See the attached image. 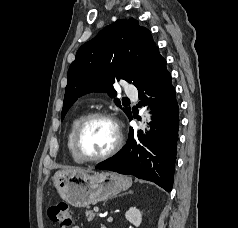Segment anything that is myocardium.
<instances>
[{
  "label": "myocardium",
  "instance_id": "1",
  "mask_svg": "<svg viewBox=\"0 0 238 228\" xmlns=\"http://www.w3.org/2000/svg\"><path fill=\"white\" fill-rule=\"evenodd\" d=\"M99 118L106 119V120H109L110 122H112V124L115 127V131H116V142L110 150H108L106 153H104L102 155L95 156V157L84 156L80 151L81 136H82L85 128L87 127V125L94 119H99ZM122 144H123L122 132H121L120 126H119L117 120L114 118V116L106 111H94V112H91V113H88L87 115H85L81 119L80 123L78 124L75 134H74L73 148H74V152H75L76 156L82 162H99V161L106 160V159L110 158L111 156L115 155L122 147Z\"/></svg>",
  "mask_w": 238,
  "mask_h": 228
}]
</instances>
